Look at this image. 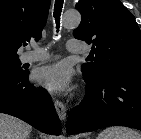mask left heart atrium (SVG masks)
Masks as SVG:
<instances>
[{
    "label": "left heart atrium",
    "mask_w": 141,
    "mask_h": 139,
    "mask_svg": "<svg viewBox=\"0 0 141 139\" xmlns=\"http://www.w3.org/2000/svg\"><path fill=\"white\" fill-rule=\"evenodd\" d=\"M34 80L52 93L66 91L71 83V73L67 65L58 63L37 69Z\"/></svg>",
    "instance_id": "obj_1"
}]
</instances>
